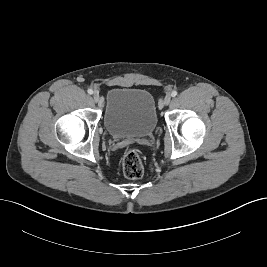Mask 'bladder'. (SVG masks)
<instances>
[{"mask_svg":"<svg viewBox=\"0 0 267 267\" xmlns=\"http://www.w3.org/2000/svg\"><path fill=\"white\" fill-rule=\"evenodd\" d=\"M103 123L115 138H140L153 133L157 125L153 95L139 88L114 87L105 98Z\"/></svg>","mask_w":267,"mask_h":267,"instance_id":"1","label":"bladder"}]
</instances>
